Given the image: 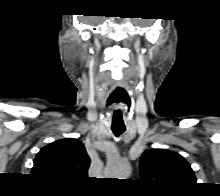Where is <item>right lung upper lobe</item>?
Segmentation results:
<instances>
[{
	"instance_id": "1",
	"label": "right lung upper lobe",
	"mask_w": 220,
	"mask_h": 196,
	"mask_svg": "<svg viewBox=\"0 0 220 196\" xmlns=\"http://www.w3.org/2000/svg\"><path fill=\"white\" fill-rule=\"evenodd\" d=\"M90 158L78 139L57 140L37 154L32 175L52 184L79 185L87 178Z\"/></svg>"
}]
</instances>
